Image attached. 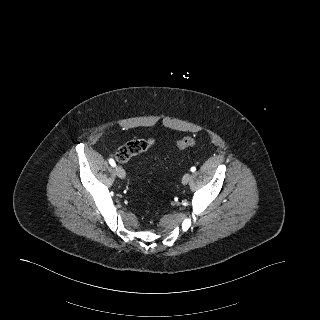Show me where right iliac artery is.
Returning a JSON list of instances; mask_svg holds the SVG:
<instances>
[{
	"label": "right iliac artery",
	"instance_id": "right-iliac-artery-1",
	"mask_svg": "<svg viewBox=\"0 0 320 320\" xmlns=\"http://www.w3.org/2000/svg\"><path fill=\"white\" fill-rule=\"evenodd\" d=\"M109 163H110V165L113 166V167L116 165L114 159H110V160H109Z\"/></svg>",
	"mask_w": 320,
	"mask_h": 320
}]
</instances>
